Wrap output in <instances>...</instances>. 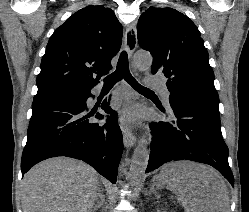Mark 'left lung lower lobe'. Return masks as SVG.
Returning <instances> with one entry per match:
<instances>
[{"label":"left lung lower lobe","mask_w":249,"mask_h":212,"mask_svg":"<svg viewBox=\"0 0 249 212\" xmlns=\"http://www.w3.org/2000/svg\"><path fill=\"white\" fill-rule=\"evenodd\" d=\"M169 119L150 123L153 144L146 173L172 160H191L216 168L233 186L219 117L218 103L182 93H171Z\"/></svg>","instance_id":"1"}]
</instances>
